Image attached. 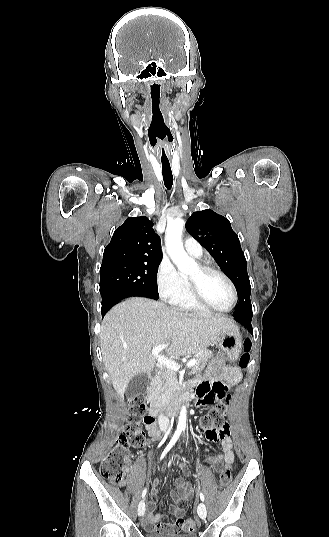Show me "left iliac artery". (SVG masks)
I'll return each mask as SVG.
<instances>
[{
    "mask_svg": "<svg viewBox=\"0 0 329 537\" xmlns=\"http://www.w3.org/2000/svg\"><path fill=\"white\" fill-rule=\"evenodd\" d=\"M199 496H200L201 501L204 502L205 497H204V495H203V493L201 491H199Z\"/></svg>",
    "mask_w": 329,
    "mask_h": 537,
    "instance_id": "1",
    "label": "left iliac artery"
}]
</instances>
